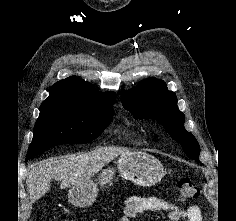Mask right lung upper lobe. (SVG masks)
I'll use <instances>...</instances> for the list:
<instances>
[{
	"mask_svg": "<svg viewBox=\"0 0 236 221\" xmlns=\"http://www.w3.org/2000/svg\"><path fill=\"white\" fill-rule=\"evenodd\" d=\"M114 99V92H99L89 82L72 76L56 82L50 89L49 97L41 105L92 108L113 105Z\"/></svg>",
	"mask_w": 236,
	"mask_h": 221,
	"instance_id": "right-lung-upper-lobe-1",
	"label": "right lung upper lobe"
}]
</instances>
